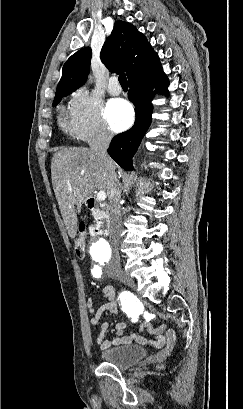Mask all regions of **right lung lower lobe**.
I'll use <instances>...</instances> for the list:
<instances>
[{"label":"right lung lower lobe","mask_w":243,"mask_h":409,"mask_svg":"<svg viewBox=\"0 0 243 409\" xmlns=\"http://www.w3.org/2000/svg\"><path fill=\"white\" fill-rule=\"evenodd\" d=\"M169 81L162 67L129 81L128 98L136 107V121L128 131L115 136L109 146V155L125 170H133L132 157L151 123L152 95L163 92L168 95ZM156 90L153 92V88Z\"/></svg>","instance_id":"1"}]
</instances>
